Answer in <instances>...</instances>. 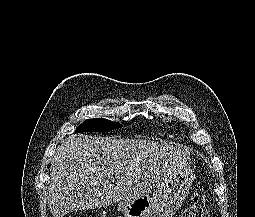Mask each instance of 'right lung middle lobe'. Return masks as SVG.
Returning <instances> with one entry per match:
<instances>
[{"instance_id": "right-lung-middle-lobe-1", "label": "right lung middle lobe", "mask_w": 255, "mask_h": 217, "mask_svg": "<svg viewBox=\"0 0 255 217\" xmlns=\"http://www.w3.org/2000/svg\"><path fill=\"white\" fill-rule=\"evenodd\" d=\"M122 127L119 122L109 121L102 118L87 119L80 124L76 132H103Z\"/></svg>"}]
</instances>
